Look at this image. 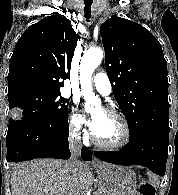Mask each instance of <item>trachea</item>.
Masks as SVG:
<instances>
[{"mask_svg": "<svg viewBox=\"0 0 178 195\" xmlns=\"http://www.w3.org/2000/svg\"><path fill=\"white\" fill-rule=\"evenodd\" d=\"M84 3H85V9H84L85 18H86V21H89L91 18V6L93 3V0H84Z\"/></svg>", "mask_w": 178, "mask_h": 195, "instance_id": "3493384b", "label": "trachea"}]
</instances>
